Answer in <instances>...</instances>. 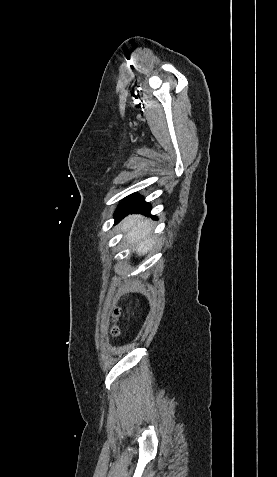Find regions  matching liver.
<instances>
[{
	"label": "liver",
	"mask_w": 277,
	"mask_h": 477,
	"mask_svg": "<svg viewBox=\"0 0 277 477\" xmlns=\"http://www.w3.org/2000/svg\"><path fill=\"white\" fill-rule=\"evenodd\" d=\"M120 229L126 231V238L129 243L135 247L136 253L141 256L147 254L153 246V237H151L152 225L144 216L130 215L126 217Z\"/></svg>",
	"instance_id": "1"
}]
</instances>
